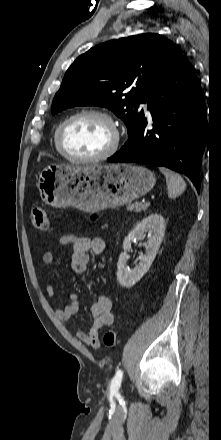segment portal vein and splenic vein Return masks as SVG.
I'll use <instances>...</instances> for the list:
<instances>
[{
  "mask_svg": "<svg viewBox=\"0 0 221 440\" xmlns=\"http://www.w3.org/2000/svg\"><path fill=\"white\" fill-rule=\"evenodd\" d=\"M145 204H146V205H150V202H149V201H147V202H145Z\"/></svg>",
  "mask_w": 221,
  "mask_h": 440,
  "instance_id": "1",
  "label": "portal vein and splenic vein"
}]
</instances>
